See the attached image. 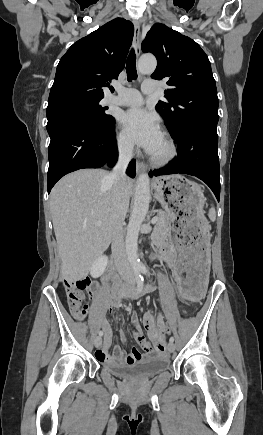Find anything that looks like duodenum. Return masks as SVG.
Segmentation results:
<instances>
[{
	"instance_id": "410a0bca",
	"label": "duodenum",
	"mask_w": 263,
	"mask_h": 435,
	"mask_svg": "<svg viewBox=\"0 0 263 435\" xmlns=\"http://www.w3.org/2000/svg\"><path fill=\"white\" fill-rule=\"evenodd\" d=\"M136 288L137 287H133L131 285H123L120 288V294L123 296L132 295L135 292Z\"/></svg>"
}]
</instances>
